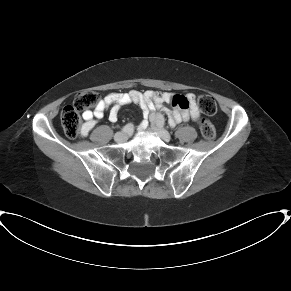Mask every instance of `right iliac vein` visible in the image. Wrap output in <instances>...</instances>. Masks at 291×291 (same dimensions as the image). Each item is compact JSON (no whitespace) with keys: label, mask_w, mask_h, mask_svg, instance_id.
<instances>
[{"label":"right iliac vein","mask_w":291,"mask_h":291,"mask_svg":"<svg viewBox=\"0 0 291 291\" xmlns=\"http://www.w3.org/2000/svg\"><path fill=\"white\" fill-rule=\"evenodd\" d=\"M128 135L125 132H118L114 135V140L117 142H124Z\"/></svg>","instance_id":"1"}]
</instances>
